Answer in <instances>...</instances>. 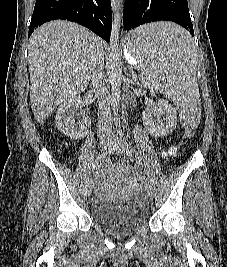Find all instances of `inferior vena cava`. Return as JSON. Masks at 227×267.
<instances>
[{
    "label": "inferior vena cava",
    "instance_id": "inferior-vena-cava-1",
    "mask_svg": "<svg viewBox=\"0 0 227 267\" xmlns=\"http://www.w3.org/2000/svg\"><path fill=\"white\" fill-rule=\"evenodd\" d=\"M103 53L97 49L93 61V69L91 74V86L98 96V133L100 136L110 134L112 132V118L110 114L109 99L106 96V87L103 82Z\"/></svg>",
    "mask_w": 227,
    "mask_h": 267
}]
</instances>
